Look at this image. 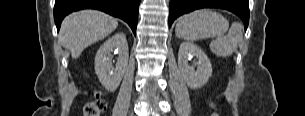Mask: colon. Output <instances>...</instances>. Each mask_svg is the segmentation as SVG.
<instances>
[{
    "instance_id": "1",
    "label": "colon",
    "mask_w": 305,
    "mask_h": 116,
    "mask_svg": "<svg viewBox=\"0 0 305 116\" xmlns=\"http://www.w3.org/2000/svg\"><path fill=\"white\" fill-rule=\"evenodd\" d=\"M106 109V103L101 98L99 93L95 94V99L88 102L83 108L84 116H100ZM212 116H219L217 112H214Z\"/></svg>"
}]
</instances>
